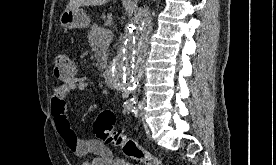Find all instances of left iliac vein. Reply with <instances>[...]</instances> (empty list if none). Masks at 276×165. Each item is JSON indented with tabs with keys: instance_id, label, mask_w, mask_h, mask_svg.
Instances as JSON below:
<instances>
[{
	"instance_id": "1",
	"label": "left iliac vein",
	"mask_w": 276,
	"mask_h": 165,
	"mask_svg": "<svg viewBox=\"0 0 276 165\" xmlns=\"http://www.w3.org/2000/svg\"><path fill=\"white\" fill-rule=\"evenodd\" d=\"M135 116L136 117H142L143 116V110H142V105L139 104L138 109L135 111Z\"/></svg>"
}]
</instances>
